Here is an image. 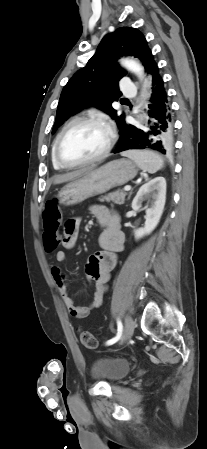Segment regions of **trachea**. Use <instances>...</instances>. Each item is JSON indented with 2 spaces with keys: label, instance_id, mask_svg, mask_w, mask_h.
<instances>
[{
  "label": "trachea",
  "instance_id": "3493384b",
  "mask_svg": "<svg viewBox=\"0 0 207 449\" xmlns=\"http://www.w3.org/2000/svg\"><path fill=\"white\" fill-rule=\"evenodd\" d=\"M122 101H126V99L123 98Z\"/></svg>",
  "mask_w": 207,
  "mask_h": 449
}]
</instances>
